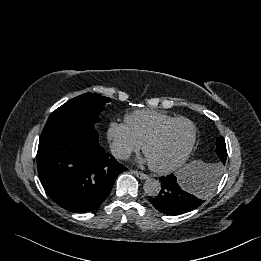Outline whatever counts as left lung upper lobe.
<instances>
[{
    "mask_svg": "<svg viewBox=\"0 0 261 261\" xmlns=\"http://www.w3.org/2000/svg\"><path fill=\"white\" fill-rule=\"evenodd\" d=\"M216 153L219 156L222 163L226 161L227 150H226L225 140H224L223 137H220V138L217 139Z\"/></svg>",
    "mask_w": 261,
    "mask_h": 261,
    "instance_id": "left-lung-upper-lobe-1",
    "label": "left lung upper lobe"
}]
</instances>
